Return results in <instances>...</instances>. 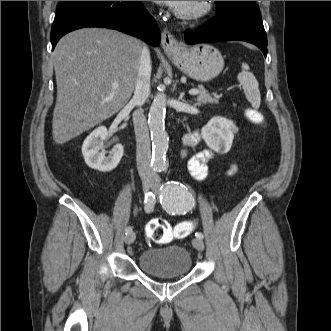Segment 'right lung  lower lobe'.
Listing matches in <instances>:
<instances>
[{
    "instance_id": "right-lung-lower-lobe-1",
    "label": "right lung lower lobe",
    "mask_w": 331,
    "mask_h": 331,
    "mask_svg": "<svg viewBox=\"0 0 331 331\" xmlns=\"http://www.w3.org/2000/svg\"><path fill=\"white\" fill-rule=\"evenodd\" d=\"M85 27L119 30L158 46L160 30L141 1H66L59 4L51 29L52 50L68 32Z\"/></svg>"
}]
</instances>
